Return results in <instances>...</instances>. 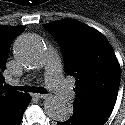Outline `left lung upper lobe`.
Returning a JSON list of instances; mask_svg holds the SVG:
<instances>
[{"mask_svg": "<svg viewBox=\"0 0 125 125\" xmlns=\"http://www.w3.org/2000/svg\"><path fill=\"white\" fill-rule=\"evenodd\" d=\"M60 43L65 72L76 78L74 109L108 118L120 84V66L106 37L77 20L44 24Z\"/></svg>", "mask_w": 125, "mask_h": 125, "instance_id": "obj_1", "label": "left lung upper lobe"}]
</instances>
